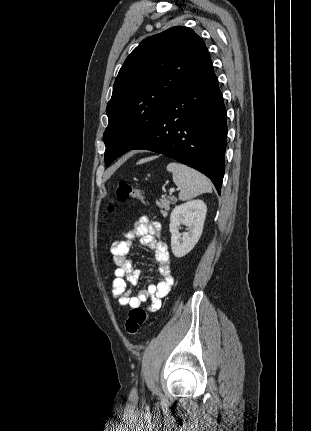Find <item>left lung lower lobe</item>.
Segmentation results:
<instances>
[{"mask_svg":"<svg viewBox=\"0 0 311 431\" xmlns=\"http://www.w3.org/2000/svg\"><path fill=\"white\" fill-rule=\"evenodd\" d=\"M226 137V109L208 53L152 132L131 150L154 151L188 165L209 177L220 194Z\"/></svg>","mask_w":311,"mask_h":431,"instance_id":"obj_1","label":"left lung lower lobe"}]
</instances>
